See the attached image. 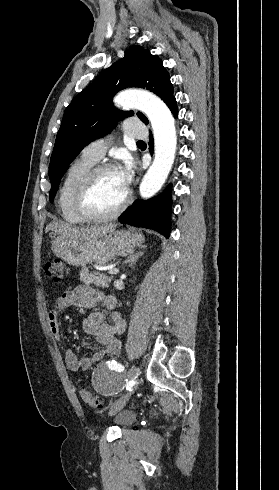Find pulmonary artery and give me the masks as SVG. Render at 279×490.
Returning a JSON list of instances; mask_svg holds the SVG:
<instances>
[{
  "mask_svg": "<svg viewBox=\"0 0 279 490\" xmlns=\"http://www.w3.org/2000/svg\"><path fill=\"white\" fill-rule=\"evenodd\" d=\"M115 131L122 128V125L115 122L112 125ZM123 128L128 134L131 135L132 140H143L146 135V125L144 122H139L138 117H129L127 122L123 125ZM109 143L103 139H96L89 142L81 151V156L89 161L96 163L104 155Z\"/></svg>",
  "mask_w": 279,
  "mask_h": 490,
  "instance_id": "pulmonary-artery-1",
  "label": "pulmonary artery"
}]
</instances>
